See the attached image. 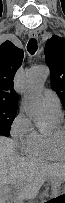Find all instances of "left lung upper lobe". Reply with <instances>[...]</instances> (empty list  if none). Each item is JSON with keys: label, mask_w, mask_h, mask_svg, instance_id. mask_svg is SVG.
Here are the masks:
<instances>
[{"label": "left lung upper lobe", "mask_w": 65, "mask_h": 203, "mask_svg": "<svg viewBox=\"0 0 65 203\" xmlns=\"http://www.w3.org/2000/svg\"><path fill=\"white\" fill-rule=\"evenodd\" d=\"M45 59L53 79L52 89L65 102V40L53 36L45 45Z\"/></svg>", "instance_id": "1"}]
</instances>
